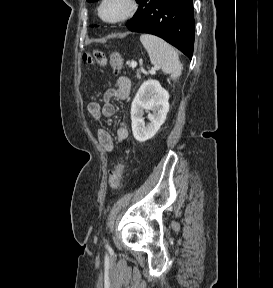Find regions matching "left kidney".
<instances>
[{
  "mask_svg": "<svg viewBox=\"0 0 273 288\" xmlns=\"http://www.w3.org/2000/svg\"><path fill=\"white\" fill-rule=\"evenodd\" d=\"M168 100V91L158 81L150 79L142 83L131 105L132 132L138 142H145L158 132L169 111ZM144 110L149 112L150 123L146 126Z\"/></svg>",
  "mask_w": 273,
  "mask_h": 288,
  "instance_id": "5707ae66",
  "label": "left kidney"
}]
</instances>
